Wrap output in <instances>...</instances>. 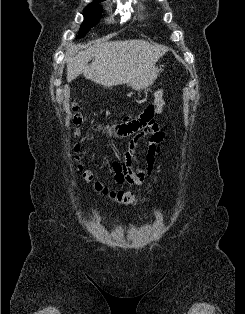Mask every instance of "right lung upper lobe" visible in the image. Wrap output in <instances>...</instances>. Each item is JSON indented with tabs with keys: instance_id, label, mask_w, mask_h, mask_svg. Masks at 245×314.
<instances>
[{
	"instance_id": "cb5924a9",
	"label": "right lung upper lobe",
	"mask_w": 245,
	"mask_h": 314,
	"mask_svg": "<svg viewBox=\"0 0 245 314\" xmlns=\"http://www.w3.org/2000/svg\"><path fill=\"white\" fill-rule=\"evenodd\" d=\"M98 1H102V0H95V2H98Z\"/></svg>"
}]
</instances>
